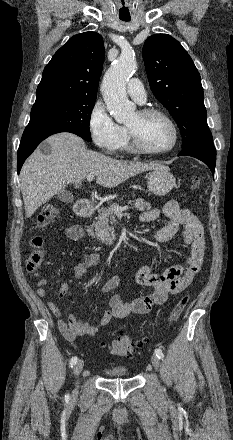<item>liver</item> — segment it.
Masks as SVG:
<instances>
[{
    "instance_id": "1",
    "label": "liver",
    "mask_w": 233,
    "mask_h": 440,
    "mask_svg": "<svg viewBox=\"0 0 233 440\" xmlns=\"http://www.w3.org/2000/svg\"><path fill=\"white\" fill-rule=\"evenodd\" d=\"M45 143L51 146V153L45 155L36 149L20 172L27 218L68 184L79 188L87 175L96 176L99 185L113 188L144 171L167 168L159 163L117 160L87 150L84 141L69 132L52 135Z\"/></svg>"
}]
</instances>
